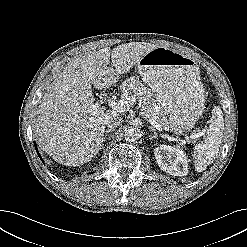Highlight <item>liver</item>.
I'll return each instance as SVG.
<instances>
[{
  "label": "liver",
  "instance_id": "6515ba94",
  "mask_svg": "<svg viewBox=\"0 0 247 247\" xmlns=\"http://www.w3.org/2000/svg\"><path fill=\"white\" fill-rule=\"evenodd\" d=\"M156 47L134 42L74 57L48 87L35 112V137L43 151L66 166L89 162L103 146L104 118L111 112L95 103L92 84L108 89ZM110 60L114 68L108 66Z\"/></svg>",
  "mask_w": 247,
  "mask_h": 247
}]
</instances>
